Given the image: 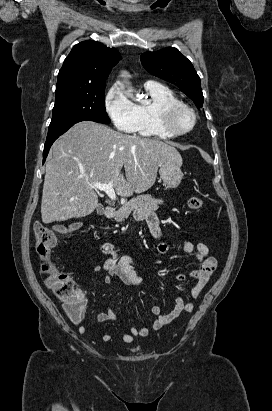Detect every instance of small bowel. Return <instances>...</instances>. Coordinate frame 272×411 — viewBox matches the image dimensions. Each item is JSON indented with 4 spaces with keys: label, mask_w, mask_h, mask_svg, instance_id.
Instances as JSON below:
<instances>
[{
    "label": "small bowel",
    "mask_w": 272,
    "mask_h": 411,
    "mask_svg": "<svg viewBox=\"0 0 272 411\" xmlns=\"http://www.w3.org/2000/svg\"><path fill=\"white\" fill-rule=\"evenodd\" d=\"M136 218L140 221H144L151 233V235L159 241L156 247V251L159 255H164L169 250V245L165 242H161L162 231L159 226L157 217L148 209H140L136 213ZM182 249L186 254L193 255L197 262V267L190 271L189 276L196 281L191 290L193 298H198L205 286L207 285L211 275L214 273L217 267V261L215 258L210 257L209 248L202 242L193 243L191 241H185L182 244ZM101 251L106 256L102 265H96L92 270L96 273L105 272L103 281L106 284L111 283L113 277H119L125 284L140 287L142 285V279L138 276L134 269V258L132 256L119 257L118 251L115 249L111 242H105L101 246ZM183 274H178L177 279L179 281L184 280ZM195 305L193 302H186L183 297H178L175 300L174 308L168 312L163 313L162 309L158 305L151 307V313L155 316L151 324L153 330H159L172 320L177 318L181 312H191ZM96 319L99 322H116L118 316L111 307H108L105 312L98 313ZM87 328L80 326L78 332L81 335L87 334ZM149 334L147 327H131L128 332L122 335V340L127 344L135 342L137 337H146ZM112 336L108 333L102 335L104 342L111 341Z\"/></svg>",
    "instance_id": "c3829d8e"
}]
</instances>
